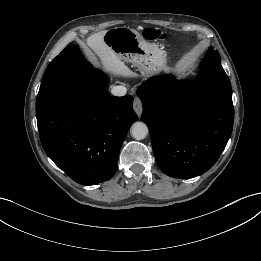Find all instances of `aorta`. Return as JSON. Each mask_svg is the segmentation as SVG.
<instances>
[{
	"mask_svg": "<svg viewBox=\"0 0 261 261\" xmlns=\"http://www.w3.org/2000/svg\"><path fill=\"white\" fill-rule=\"evenodd\" d=\"M148 132V127L144 122H135L131 127V136L136 140L146 138Z\"/></svg>",
	"mask_w": 261,
	"mask_h": 261,
	"instance_id": "1",
	"label": "aorta"
}]
</instances>
